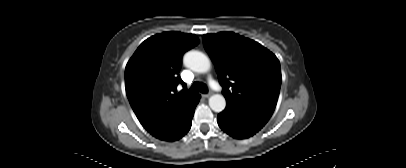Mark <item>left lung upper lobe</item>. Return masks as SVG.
<instances>
[{"instance_id":"5c2ea615","label":"left lung upper lobe","mask_w":406,"mask_h":168,"mask_svg":"<svg viewBox=\"0 0 406 168\" xmlns=\"http://www.w3.org/2000/svg\"><path fill=\"white\" fill-rule=\"evenodd\" d=\"M226 101L272 115L281 86L277 57L261 44L232 32L203 35Z\"/></svg>"}]
</instances>
